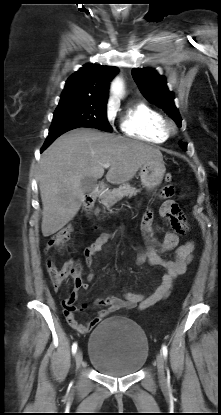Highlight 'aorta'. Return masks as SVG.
Returning <instances> with one entry per match:
<instances>
[{"instance_id":"762f6f07","label":"aorta","mask_w":221,"mask_h":415,"mask_svg":"<svg viewBox=\"0 0 221 415\" xmlns=\"http://www.w3.org/2000/svg\"><path fill=\"white\" fill-rule=\"evenodd\" d=\"M112 92L115 96H120L123 92V84L122 81L117 78L112 84Z\"/></svg>"}]
</instances>
